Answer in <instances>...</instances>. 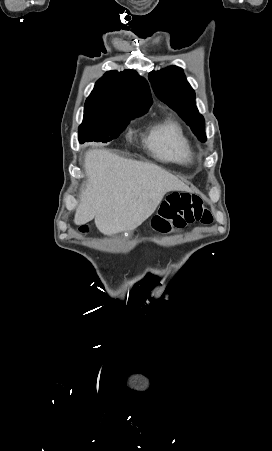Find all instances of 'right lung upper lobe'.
<instances>
[{
  "label": "right lung upper lobe",
  "mask_w": 272,
  "mask_h": 451,
  "mask_svg": "<svg viewBox=\"0 0 272 451\" xmlns=\"http://www.w3.org/2000/svg\"><path fill=\"white\" fill-rule=\"evenodd\" d=\"M152 97L146 80L134 70L108 71L85 102L86 109L149 108Z\"/></svg>",
  "instance_id": "obj_1"
}]
</instances>
